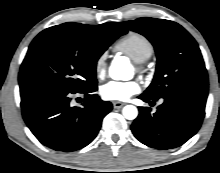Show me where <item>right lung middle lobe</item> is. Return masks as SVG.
Here are the masks:
<instances>
[{
    "instance_id": "obj_1",
    "label": "right lung middle lobe",
    "mask_w": 220,
    "mask_h": 173,
    "mask_svg": "<svg viewBox=\"0 0 220 173\" xmlns=\"http://www.w3.org/2000/svg\"><path fill=\"white\" fill-rule=\"evenodd\" d=\"M112 43L95 44L79 29L41 32L21 65L19 83H45L75 92L97 86L99 49L106 50Z\"/></svg>"
}]
</instances>
